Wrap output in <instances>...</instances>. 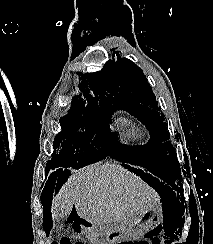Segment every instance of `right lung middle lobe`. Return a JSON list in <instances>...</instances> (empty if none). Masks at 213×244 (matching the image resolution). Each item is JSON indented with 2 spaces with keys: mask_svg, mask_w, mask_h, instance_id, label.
Segmentation results:
<instances>
[{
  "mask_svg": "<svg viewBox=\"0 0 213 244\" xmlns=\"http://www.w3.org/2000/svg\"><path fill=\"white\" fill-rule=\"evenodd\" d=\"M110 117V112L69 110L59 120L62 130L55 137V152L47 163V170L68 166L80 168L107 156L122 159L113 155V151L125 150V147L112 141L108 129Z\"/></svg>",
  "mask_w": 213,
  "mask_h": 244,
  "instance_id": "obj_1",
  "label": "right lung middle lobe"
}]
</instances>
